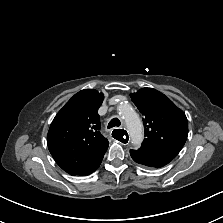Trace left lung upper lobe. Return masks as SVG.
<instances>
[{"label":"left lung upper lobe","mask_w":223,"mask_h":223,"mask_svg":"<svg viewBox=\"0 0 223 223\" xmlns=\"http://www.w3.org/2000/svg\"><path fill=\"white\" fill-rule=\"evenodd\" d=\"M130 96L143 115L145 138L142 147L176 157L188 136L185 113L153 88L140 89Z\"/></svg>","instance_id":"1"}]
</instances>
